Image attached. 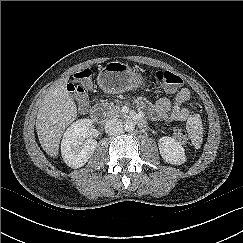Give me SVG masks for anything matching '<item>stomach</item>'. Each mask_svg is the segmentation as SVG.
<instances>
[{
	"instance_id": "0dacf381",
	"label": "stomach",
	"mask_w": 243,
	"mask_h": 243,
	"mask_svg": "<svg viewBox=\"0 0 243 243\" xmlns=\"http://www.w3.org/2000/svg\"><path fill=\"white\" fill-rule=\"evenodd\" d=\"M97 82L103 91L118 94L139 88L143 78L127 64L113 61L101 68Z\"/></svg>"
}]
</instances>
